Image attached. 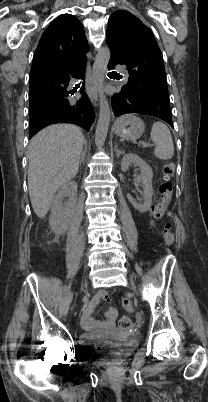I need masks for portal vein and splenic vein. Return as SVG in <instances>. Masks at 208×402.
<instances>
[{"mask_svg": "<svg viewBox=\"0 0 208 402\" xmlns=\"http://www.w3.org/2000/svg\"><path fill=\"white\" fill-rule=\"evenodd\" d=\"M141 144H143V148H146L147 144H145V142H141ZM151 146H153V144H151Z\"/></svg>", "mask_w": 208, "mask_h": 402, "instance_id": "obj_1", "label": "portal vein and splenic vein"}]
</instances>
